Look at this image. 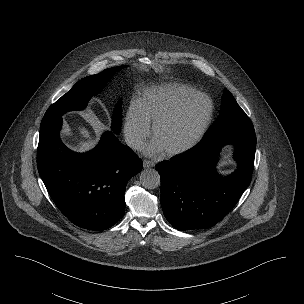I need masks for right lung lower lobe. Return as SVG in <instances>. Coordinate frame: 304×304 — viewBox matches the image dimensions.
Instances as JSON below:
<instances>
[{"instance_id":"1","label":"right lung lower lobe","mask_w":304,"mask_h":304,"mask_svg":"<svg viewBox=\"0 0 304 304\" xmlns=\"http://www.w3.org/2000/svg\"><path fill=\"white\" fill-rule=\"evenodd\" d=\"M61 116L43 119L37 149L39 174L58 209L75 225L94 231L113 226L125 212L128 180L142 160L112 132L87 153L60 140Z\"/></svg>"}]
</instances>
